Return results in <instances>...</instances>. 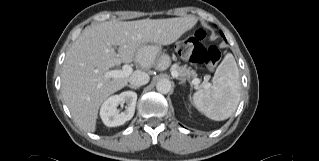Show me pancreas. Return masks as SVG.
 I'll return each mask as SVG.
<instances>
[{
    "label": "pancreas",
    "instance_id": "obj_1",
    "mask_svg": "<svg viewBox=\"0 0 319 161\" xmlns=\"http://www.w3.org/2000/svg\"><path fill=\"white\" fill-rule=\"evenodd\" d=\"M175 70L179 73V76L182 77L183 79H187L190 80L191 78H195L196 77V73L194 70H192L190 67H188L187 65H183V66H178L175 65L174 66Z\"/></svg>",
    "mask_w": 319,
    "mask_h": 161
}]
</instances>
